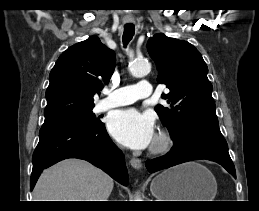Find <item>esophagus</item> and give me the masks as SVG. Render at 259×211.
<instances>
[{"mask_svg": "<svg viewBox=\"0 0 259 211\" xmlns=\"http://www.w3.org/2000/svg\"><path fill=\"white\" fill-rule=\"evenodd\" d=\"M130 164H131V166H132L134 169H137V170L142 167V162H141V160L138 159V158H132V159L130 160Z\"/></svg>", "mask_w": 259, "mask_h": 211, "instance_id": "obj_1", "label": "esophagus"}]
</instances>
